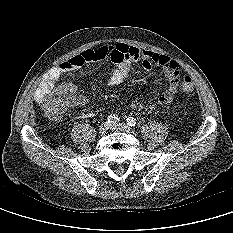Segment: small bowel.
Returning <instances> with one entry per match:
<instances>
[{
	"label": "small bowel",
	"instance_id": "c3829d8e",
	"mask_svg": "<svg viewBox=\"0 0 233 233\" xmlns=\"http://www.w3.org/2000/svg\"><path fill=\"white\" fill-rule=\"evenodd\" d=\"M105 59H109L116 64L111 74V86H117L123 83L129 75L132 64L136 61H141L142 66L146 70H150L154 65L161 67L166 76L167 85L159 93L157 104L166 105L175 99L180 80L179 68L174 60L149 50H140L134 46L117 43L111 46H101L96 49H86L56 66L49 77L37 89L35 94L36 100L43 102L53 91L55 83L64 73L75 71L86 63ZM73 102L82 105L87 102V99L83 96H75ZM132 108L135 110L145 109L147 111H153L155 105H144L140 102H134Z\"/></svg>",
	"mask_w": 233,
	"mask_h": 233
}]
</instances>
